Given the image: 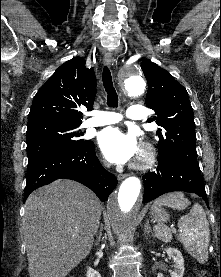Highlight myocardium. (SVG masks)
<instances>
[{
  "mask_svg": "<svg viewBox=\"0 0 221 277\" xmlns=\"http://www.w3.org/2000/svg\"><path fill=\"white\" fill-rule=\"evenodd\" d=\"M156 161V152L149 143H143L139 157L131 164L135 170L144 171L150 169Z\"/></svg>",
  "mask_w": 221,
  "mask_h": 277,
  "instance_id": "f54148a6",
  "label": "myocardium"
}]
</instances>
